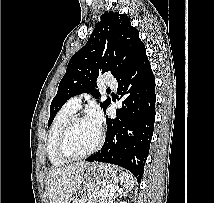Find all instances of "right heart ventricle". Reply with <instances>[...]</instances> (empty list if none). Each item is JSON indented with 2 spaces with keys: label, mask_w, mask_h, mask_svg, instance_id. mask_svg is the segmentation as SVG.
Listing matches in <instances>:
<instances>
[{
  "label": "right heart ventricle",
  "mask_w": 214,
  "mask_h": 203,
  "mask_svg": "<svg viewBox=\"0 0 214 203\" xmlns=\"http://www.w3.org/2000/svg\"><path fill=\"white\" fill-rule=\"evenodd\" d=\"M75 112L76 110L71 109L66 103L55 116L49 129L46 141V152L50 162L55 166H62L68 162L58 153L57 141L60 132L67 122L74 116Z\"/></svg>",
  "instance_id": "obj_1"
}]
</instances>
